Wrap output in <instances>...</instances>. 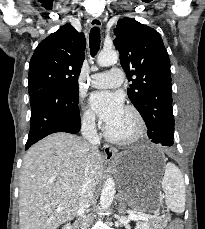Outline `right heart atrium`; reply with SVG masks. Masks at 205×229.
<instances>
[{
  "mask_svg": "<svg viewBox=\"0 0 205 229\" xmlns=\"http://www.w3.org/2000/svg\"><path fill=\"white\" fill-rule=\"evenodd\" d=\"M80 120L82 125L87 128H94L96 126L95 114L90 109H81Z\"/></svg>",
  "mask_w": 205,
  "mask_h": 229,
  "instance_id": "right-heart-atrium-1",
  "label": "right heart atrium"
}]
</instances>
